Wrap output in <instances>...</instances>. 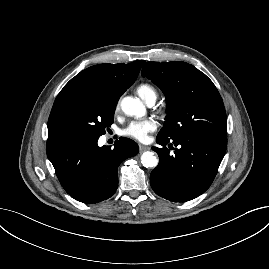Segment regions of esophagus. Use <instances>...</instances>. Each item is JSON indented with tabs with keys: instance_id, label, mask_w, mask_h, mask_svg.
<instances>
[{
	"instance_id": "obj_1",
	"label": "esophagus",
	"mask_w": 269,
	"mask_h": 269,
	"mask_svg": "<svg viewBox=\"0 0 269 269\" xmlns=\"http://www.w3.org/2000/svg\"><path fill=\"white\" fill-rule=\"evenodd\" d=\"M149 149H150L149 146L139 144V150H140L141 152L146 151V150H149Z\"/></svg>"
}]
</instances>
